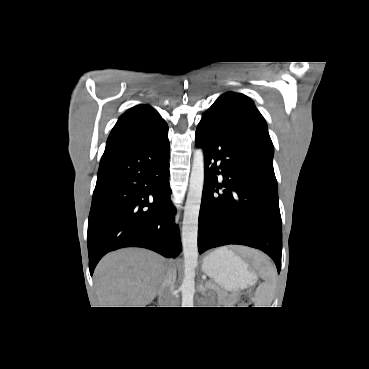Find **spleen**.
I'll return each mask as SVG.
<instances>
[{
  "label": "spleen",
  "instance_id": "3e777b00",
  "mask_svg": "<svg viewBox=\"0 0 369 369\" xmlns=\"http://www.w3.org/2000/svg\"><path fill=\"white\" fill-rule=\"evenodd\" d=\"M252 258L256 267L260 270L261 277L265 280L256 290V305H260L258 307H268L266 305H270L273 299L276 272L267 257L260 252L254 251Z\"/></svg>",
  "mask_w": 369,
  "mask_h": 369
}]
</instances>
